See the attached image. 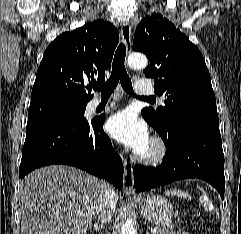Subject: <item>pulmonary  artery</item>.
Masks as SVG:
<instances>
[{
    "mask_svg": "<svg viewBox=\"0 0 241 234\" xmlns=\"http://www.w3.org/2000/svg\"><path fill=\"white\" fill-rule=\"evenodd\" d=\"M135 92L138 95H150L153 93V88L150 84L144 83V82H139L135 86ZM101 104L100 99H94L90 103V108L95 109Z\"/></svg>",
    "mask_w": 241,
    "mask_h": 234,
    "instance_id": "obj_1",
    "label": "pulmonary artery"
}]
</instances>
